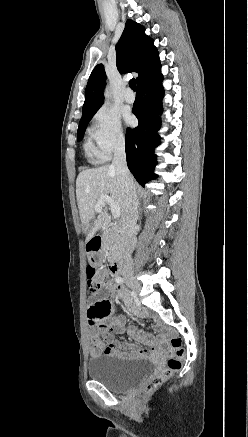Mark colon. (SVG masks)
Returning a JSON list of instances; mask_svg holds the SVG:
<instances>
[{
    "label": "colon",
    "mask_w": 248,
    "mask_h": 437,
    "mask_svg": "<svg viewBox=\"0 0 248 437\" xmlns=\"http://www.w3.org/2000/svg\"><path fill=\"white\" fill-rule=\"evenodd\" d=\"M110 272L104 267L89 265L87 268V283L88 289L92 294H96L109 279ZM93 305H96L93 304ZM184 355L182 340L179 337H174L170 341V357L168 358L165 367L151 378L144 386L143 392L149 394L164 382H166L175 372L181 367V360Z\"/></svg>",
    "instance_id": "obj_1"
}]
</instances>
